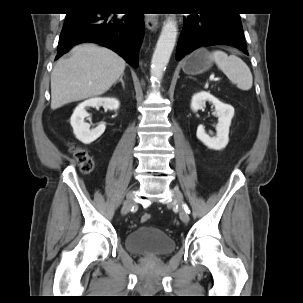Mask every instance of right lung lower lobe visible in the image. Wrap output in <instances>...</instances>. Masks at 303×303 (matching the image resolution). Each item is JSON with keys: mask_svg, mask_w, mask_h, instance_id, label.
Returning <instances> with one entry per match:
<instances>
[{"mask_svg": "<svg viewBox=\"0 0 303 303\" xmlns=\"http://www.w3.org/2000/svg\"><path fill=\"white\" fill-rule=\"evenodd\" d=\"M143 33V14L140 13L126 14L120 18L106 11L92 9L69 13L59 38L55 60L74 45L93 42L112 49L137 68Z\"/></svg>", "mask_w": 303, "mask_h": 303, "instance_id": "obj_1", "label": "right lung lower lobe"}]
</instances>
